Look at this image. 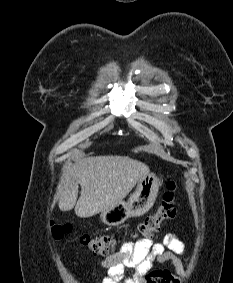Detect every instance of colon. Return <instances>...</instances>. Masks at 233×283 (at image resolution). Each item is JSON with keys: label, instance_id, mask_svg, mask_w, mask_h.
I'll return each instance as SVG.
<instances>
[{"label": "colon", "instance_id": "colon-1", "mask_svg": "<svg viewBox=\"0 0 233 283\" xmlns=\"http://www.w3.org/2000/svg\"><path fill=\"white\" fill-rule=\"evenodd\" d=\"M176 190V182L173 179H168L166 182V191L163 195V200L158 211L147 217L145 221L137 227L134 232V236L140 237L141 239L150 238L160 229V226L164 221L174 219L176 217L178 212L175 200ZM51 231L55 237H61L64 233L71 231V225L52 223ZM80 242L93 253L101 256H107L114 253L118 246L117 240L108 235L93 236L83 234L80 237Z\"/></svg>", "mask_w": 233, "mask_h": 283}]
</instances>
